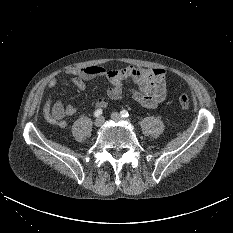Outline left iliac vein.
Listing matches in <instances>:
<instances>
[{
    "label": "left iliac vein",
    "mask_w": 233,
    "mask_h": 233,
    "mask_svg": "<svg viewBox=\"0 0 233 233\" xmlns=\"http://www.w3.org/2000/svg\"><path fill=\"white\" fill-rule=\"evenodd\" d=\"M111 118H112L114 121H122V120H124L123 117L121 116V114L118 113V112H113V113L111 114Z\"/></svg>",
    "instance_id": "left-iliac-vein-1"
}]
</instances>
